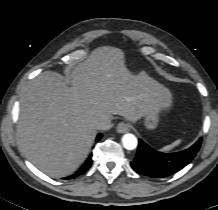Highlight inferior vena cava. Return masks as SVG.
Here are the masks:
<instances>
[{
	"label": "inferior vena cava",
	"instance_id": "inferior-vena-cava-1",
	"mask_svg": "<svg viewBox=\"0 0 218 210\" xmlns=\"http://www.w3.org/2000/svg\"><path fill=\"white\" fill-rule=\"evenodd\" d=\"M112 126H113V124L111 122V119H107V120L99 122L96 125V128L98 130H104L105 131V130H109Z\"/></svg>",
	"mask_w": 218,
	"mask_h": 210
}]
</instances>
